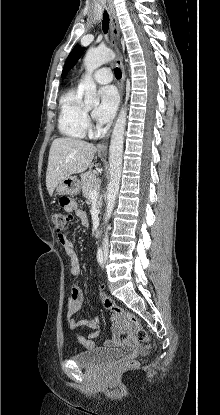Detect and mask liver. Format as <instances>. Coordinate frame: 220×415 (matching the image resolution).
<instances>
[{"label": "liver", "instance_id": "1", "mask_svg": "<svg viewBox=\"0 0 220 415\" xmlns=\"http://www.w3.org/2000/svg\"><path fill=\"white\" fill-rule=\"evenodd\" d=\"M97 148L74 138H57L53 141L48 158L46 186L53 194L57 185L72 174L82 173L94 166L92 160Z\"/></svg>", "mask_w": 220, "mask_h": 415}]
</instances>
